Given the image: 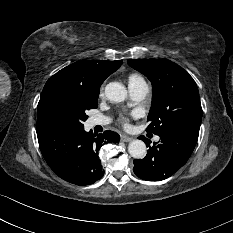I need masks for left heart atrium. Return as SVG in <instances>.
I'll return each instance as SVG.
<instances>
[{
    "label": "left heart atrium",
    "instance_id": "1",
    "mask_svg": "<svg viewBox=\"0 0 233 233\" xmlns=\"http://www.w3.org/2000/svg\"><path fill=\"white\" fill-rule=\"evenodd\" d=\"M133 115H135V113H133ZM119 121L123 126H125V127L129 126V118L127 116H125V115L120 116Z\"/></svg>",
    "mask_w": 233,
    "mask_h": 233
}]
</instances>
